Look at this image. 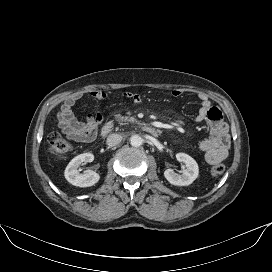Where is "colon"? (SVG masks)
Masks as SVG:
<instances>
[{
    "mask_svg": "<svg viewBox=\"0 0 272 272\" xmlns=\"http://www.w3.org/2000/svg\"><path fill=\"white\" fill-rule=\"evenodd\" d=\"M49 150L57 161H63L72 152V146L58 132H53L48 137ZM225 171L223 164H216L211 168V173L214 176H219Z\"/></svg>",
    "mask_w": 272,
    "mask_h": 272,
    "instance_id": "obj_1",
    "label": "colon"
}]
</instances>
